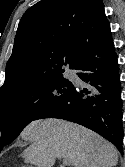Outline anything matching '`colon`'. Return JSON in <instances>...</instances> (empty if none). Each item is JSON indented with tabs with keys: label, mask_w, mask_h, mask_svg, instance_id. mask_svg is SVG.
<instances>
[{
	"label": "colon",
	"mask_w": 125,
	"mask_h": 167,
	"mask_svg": "<svg viewBox=\"0 0 125 167\" xmlns=\"http://www.w3.org/2000/svg\"><path fill=\"white\" fill-rule=\"evenodd\" d=\"M22 167H31L29 164H23Z\"/></svg>",
	"instance_id": "obj_1"
}]
</instances>
